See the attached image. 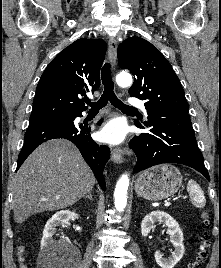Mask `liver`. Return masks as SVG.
Listing matches in <instances>:
<instances>
[{
	"label": "liver",
	"instance_id": "1",
	"mask_svg": "<svg viewBox=\"0 0 221 268\" xmlns=\"http://www.w3.org/2000/svg\"><path fill=\"white\" fill-rule=\"evenodd\" d=\"M95 177L78 149L54 139L40 145L15 175L12 193L14 220L69 207L92 191Z\"/></svg>",
	"mask_w": 221,
	"mask_h": 268
}]
</instances>
